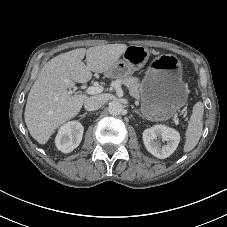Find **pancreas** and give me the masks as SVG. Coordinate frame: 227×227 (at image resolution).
<instances>
[{
    "label": "pancreas",
    "mask_w": 227,
    "mask_h": 227,
    "mask_svg": "<svg viewBox=\"0 0 227 227\" xmlns=\"http://www.w3.org/2000/svg\"><path fill=\"white\" fill-rule=\"evenodd\" d=\"M120 82L124 84L128 89L130 94L136 98H140V90H141V84L139 82V79L133 76H128L125 78H121Z\"/></svg>",
    "instance_id": "cf45deb5"
}]
</instances>
